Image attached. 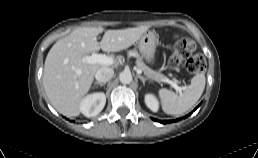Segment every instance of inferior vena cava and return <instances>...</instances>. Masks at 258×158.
Segmentation results:
<instances>
[{"instance_id":"obj_1","label":"inferior vena cava","mask_w":258,"mask_h":158,"mask_svg":"<svg viewBox=\"0 0 258 158\" xmlns=\"http://www.w3.org/2000/svg\"><path fill=\"white\" fill-rule=\"evenodd\" d=\"M114 70L110 67H101L95 74V78L99 83H106L112 79Z\"/></svg>"}]
</instances>
